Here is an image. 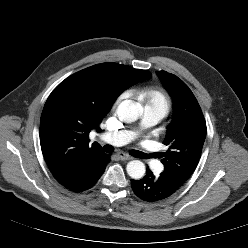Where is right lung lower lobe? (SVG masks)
I'll list each match as a JSON object with an SVG mask.
<instances>
[{
  "mask_svg": "<svg viewBox=\"0 0 248 248\" xmlns=\"http://www.w3.org/2000/svg\"><path fill=\"white\" fill-rule=\"evenodd\" d=\"M110 162L108 154H96L87 158L74 171L73 176L62 185L73 192L86 191L94 186Z\"/></svg>",
  "mask_w": 248,
  "mask_h": 248,
  "instance_id": "obj_1",
  "label": "right lung lower lobe"
}]
</instances>
